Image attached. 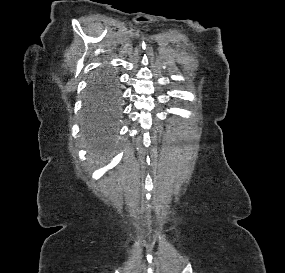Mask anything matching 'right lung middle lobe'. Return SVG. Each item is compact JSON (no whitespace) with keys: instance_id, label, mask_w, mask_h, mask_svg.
Wrapping results in <instances>:
<instances>
[{"instance_id":"right-lung-middle-lobe-1","label":"right lung middle lobe","mask_w":285,"mask_h":273,"mask_svg":"<svg viewBox=\"0 0 285 273\" xmlns=\"http://www.w3.org/2000/svg\"><path fill=\"white\" fill-rule=\"evenodd\" d=\"M114 96L115 77L113 74L101 71L91 79L85 100L87 130L97 132L110 119L118 117V108L115 106L108 108Z\"/></svg>"}]
</instances>
